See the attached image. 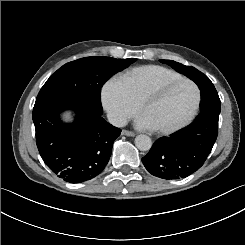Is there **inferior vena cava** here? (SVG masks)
Returning a JSON list of instances; mask_svg holds the SVG:
<instances>
[{
  "label": "inferior vena cava",
  "instance_id": "obj_1",
  "mask_svg": "<svg viewBox=\"0 0 245 245\" xmlns=\"http://www.w3.org/2000/svg\"><path fill=\"white\" fill-rule=\"evenodd\" d=\"M108 120L116 127H124L127 124V119L123 115L116 112L108 113Z\"/></svg>",
  "mask_w": 245,
  "mask_h": 245
}]
</instances>
